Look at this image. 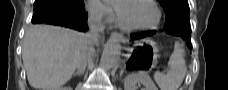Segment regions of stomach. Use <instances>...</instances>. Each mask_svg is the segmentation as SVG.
<instances>
[{"mask_svg":"<svg viewBox=\"0 0 228 90\" xmlns=\"http://www.w3.org/2000/svg\"><path fill=\"white\" fill-rule=\"evenodd\" d=\"M140 50L137 56L130 59V64H136L140 68H153L157 64L159 49L155 42L144 40L139 43Z\"/></svg>","mask_w":228,"mask_h":90,"instance_id":"obj_1","label":"stomach"}]
</instances>
